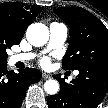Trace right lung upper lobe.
<instances>
[{"label":"right lung upper lobe","mask_w":108,"mask_h":108,"mask_svg":"<svg viewBox=\"0 0 108 108\" xmlns=\"http://www.w3.org/2000/svg\"><path fill=\"white\" fill-rule=\"evenodd\" d=\"M39 6L29 7L24 3L6 2L0 4V28L13 41L19 43L27 27L41 12Z\"/></svg>","instance_id":"right-lung-upper-lobe-1"}]
</instances>
